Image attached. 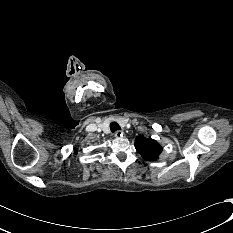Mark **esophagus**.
<instances>
[{
	"label": "esophagus",
	"mask_w": 233,
	"mask_h": 233,
	"mask_svg": "<svg viewBox=\"0 0 233 233\" xmlns=\"http://www.w3.org/2000/svg\"><path fill=\"white\" fill-rule=\"evenodd\" d=\"M114 136H115L116 138L120 139V138H122V137L124 136V133H123L122 131L118 130V131H116V132L114 133Z\"/></svg>",
	"instance_id": "obj_1"
}]
</instances>
